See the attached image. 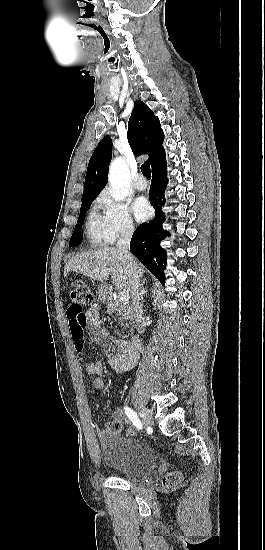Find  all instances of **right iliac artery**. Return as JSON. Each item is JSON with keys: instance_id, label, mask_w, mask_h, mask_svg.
Listing matches in <instances>:
<instances>
[{"instance_id": "1", "label": "right iliac artery", "mask_w": 265, "mask_h": 550, "mask_svg": "<svg viewBox=\"0 0 265 550\" xmlns=\"http://www.w3.org/2000/svg\"><path fill=\"white\" fill-rule=\"evenodd\" d=\"M125 413L137 429H142V423L139 420L137 413L129 407H124Z\"/></svg>"}]
</instances>
